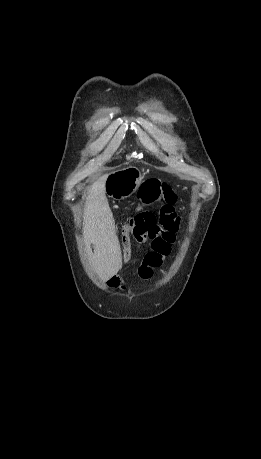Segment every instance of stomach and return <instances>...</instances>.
<instances>
[{"instance_id":"stomach-1","label":"stomach","mask_w":261,"mask_h":459,"mask_svg":"<svg viewBox=\"0 0 261 459\" xmlns=\"http://www.w3.org/2000/svg\"><path fill=\"white\" fill-rule=\"evenodd\" d=\"M142 174L135 167L116 170L107 175L105 194L115 200H122L131 196L139 188Z\"/></svg>"}]
</instances>
